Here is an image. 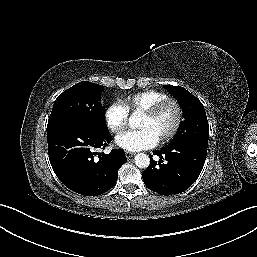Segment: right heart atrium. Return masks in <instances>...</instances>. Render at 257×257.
Returning a JSON list of instances; mask_svg holds the SVG:
<instances>
[{
  "instance_id": "right-heart-atrium-1",
  "label": "right heart atrium",
  "mask_w": 257,
  "mask_h": 257,
  "mask_svg": "<svg viewBox=\"0 0 257 257\" xmlns=\"http://www.w3.org/2000/svg\"><path fill=\"white\" fill-rule=\"evenodd\" d=\"M104 119L109 130L119 134L128 124L129 111L123 102L114 101L106 108Z\"/></svg>"
}]
</instances>
